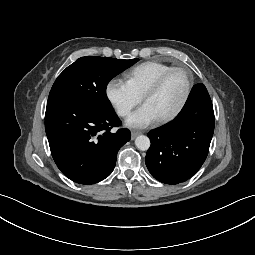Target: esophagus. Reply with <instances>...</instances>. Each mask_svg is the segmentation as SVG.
I'll use <instances>...</instances> for the list:
<instances>
[{
	"mask_svg": "<svg viewBox=\"0 0 255 255\" xmlns=\"http://www.w3.org/2000/svg\"><path fill=\"white\" fill-rule=\"evenodd\" d=\"M140 133L137 131H132L131 132V138L134 139L136 136H138Z\"/></svg>",
	"mask_w": 255,
	"mask_h": 255,
	"instance_id": "1",
	"label": "esophagus"
}]
</instances>
